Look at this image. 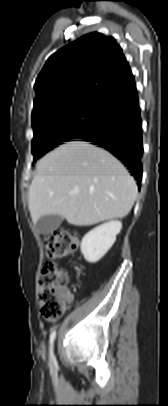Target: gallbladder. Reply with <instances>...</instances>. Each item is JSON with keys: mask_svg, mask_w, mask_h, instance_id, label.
Here are the masks:
<instances>
[{"mask_svg": "<svg viewBox=\"0 0 168 406\" xmlns=\"http://www.w3.org/2000/svg\"><path fill=\"white\" fill-rule=\"evenodd\" d=\"M63 222V218L59 215H45L39 218L36 223V228L41 234H50L57 229Z\"/></svg>", "mask_w": 168, "mask_h": 406, "instance_id": "1", "label": "gallbladder"}]
</instances>
